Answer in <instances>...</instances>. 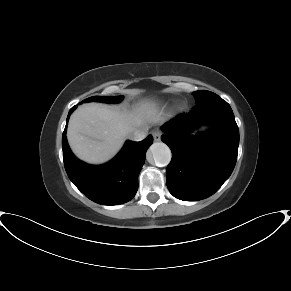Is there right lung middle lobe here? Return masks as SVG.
Listing matches in <instances>:
<instances>
[{
	"mask_svg": "<svg viewBox=\"0 0 291 291\" xmlns=\"http://www.w3.org/2000/svg\"><path fill=\"white\" fill-rule=\"evenodd\" d=\"M123 99V96H93L83 100V102H105V103H118Z\"/></svg>",
	"mask_w": 291,
	"mask_h": 291,
	"instance_id": "obj_1",
	"label": "right lung middle lobe"
}]
</instances>
